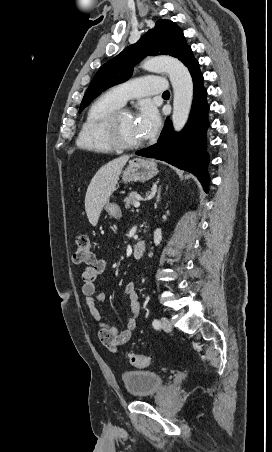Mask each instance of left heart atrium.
Returning a JSON list of instances; mask_svg holds the SVG:
<instances>
[{"label": "left heart atrium", "instance_id": "39dd6f15", "mask_svg": "<svg viewBox=\"0 0 272 452\" xmlns=\"http://www.w3.org/2000/svg\"><path fill=\"white\" fill-rule=\"evenodd\" d=\"M138 126L142 138H150L157 132L160 126V117L152 105L145 104L142 107Z\"/></svg>", "mask_w": 272, "mask_h": 452}]
</instances>
